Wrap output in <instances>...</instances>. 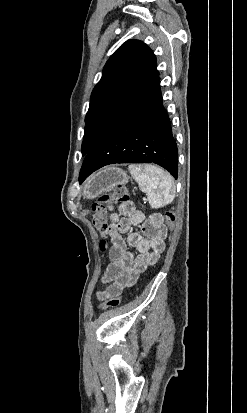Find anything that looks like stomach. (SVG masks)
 Here are the masks:
<instances>
[{"instance_id":"obj_1","label":"stomach","mask_w":247,"mask_h":413,"mask_svg":"<svg viewBox=\"0 0 247 413\" xmlns=\"http://www.w3.org/2000/svg\"><path fill=\"white\" fill-rule=\"evenodd\" d=\"M129 176L125 170L118 166H104L95 174L88 176L83 184L82 196L84 198H96L103 192H110L119 184H127Z\"/></svg>"}]
</instances>
